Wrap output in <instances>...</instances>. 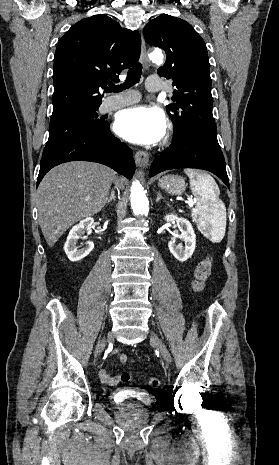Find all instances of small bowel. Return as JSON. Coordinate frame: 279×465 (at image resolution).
<instances>
[{"label": "small bowel", "mask_w": 279, "mask_h": 465, "mask_svg": "<svg viewBox=\"0 0 279 465\" xmlns=\"http://www.w3.org/2000/svg\"><path fill=\"white\" fill-rule=\"evenodd\" d=\"M113 353L116 354L118 360L122 364H125L127 362V356L120 349H116ZM99 377L101 381L109 385H115L119 383L121 380L120 375H111L106 369H101L99 371Z\"/></svg>", "instance_id": "obj_1"}]
</instances>
